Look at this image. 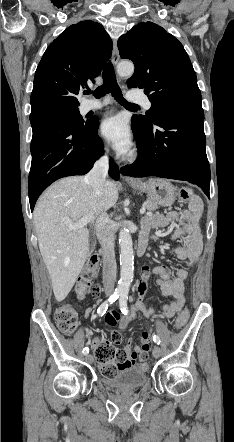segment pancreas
Here are the masks:
<instances>
[{
	"label": "pancreas",
	"instance_id": "pancreas-1",
	"mask_svg": "<svg viewBox=\"0 0 234 442\" xmlns=\"http://www.w3.org/2000/svg\"><path fill=\"white\" fill-rule=\"evenodd\" d=\"M143 206L148 210V211H155L159 208V203L152 201V200H147L146 202H144Z\"/></svg>",
	"mask_w": 234,
	"mask_h": 442
}]
</instances>
